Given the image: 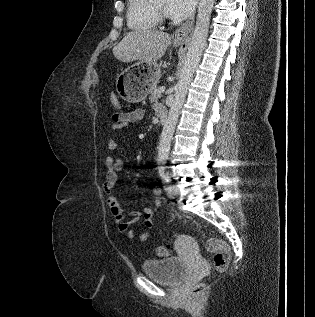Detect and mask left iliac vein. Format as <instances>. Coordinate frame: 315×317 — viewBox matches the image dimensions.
I'll return each mask as SVG.
<instances>
[{
	"instance_id": "4c4485c4",
	"label": "left iliac vein",
	"mask_w": 315,
	"mask_h": 317,
	"mask_svg": "<svg viewBox=\"0 0 315 317\" xmlns=\"http://www.w3.org/2000/svg\"><path fill=\"white\" fill-rule=\"evenodd\" d=\"M170 197H175L179 195V188L176 185H172L170 190L168 191Z\"/></svg>"
}]
</instances>
